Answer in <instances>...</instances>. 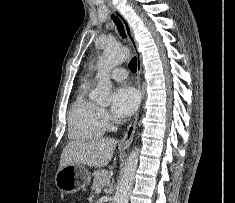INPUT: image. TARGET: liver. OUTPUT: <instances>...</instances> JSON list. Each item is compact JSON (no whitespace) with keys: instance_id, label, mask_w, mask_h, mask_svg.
<instances>
[{"instance_id":"liver-1","label":"liver","mask_w":235,"mask_h":203,"mask_svg":"<svg viewBox=\"0 0 235 203\" xmlns=\"http://www.w3.org/2000/svg\"><path fill=\"white\" fill-rule=\"evenodd\" d=\"M117 141L112 138H91L69 142L62 151L59 169L71 164L101 168L111 160Z\"/></svg>"}]
</instances>
